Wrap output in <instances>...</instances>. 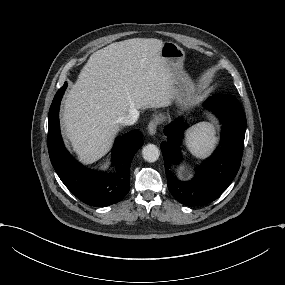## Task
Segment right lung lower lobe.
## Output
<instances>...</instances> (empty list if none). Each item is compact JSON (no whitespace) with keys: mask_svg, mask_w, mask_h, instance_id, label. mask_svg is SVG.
<instances>
[{"mask_svg":"<svg viewBox=\"0 0 285 285\" xmlns=\"http://www.w3.org/2000/svg\"><path fill=\"white\" fill-rule=\"evenodd\" d=\"M67 83L57 91L48 122V151L51 163L64 185L81 201L92 206H108L119 202L130 189V165L143 144L138 130L115 141L112 165L118 171L112 175L92 171L78 163L66 150L59 126V107Z\"/></svg>","mask_w":285,"mask_h":285,"instance_id":"right-lung-lower-lobe-1","label":"right lung lower lobe"}]
</instances>
